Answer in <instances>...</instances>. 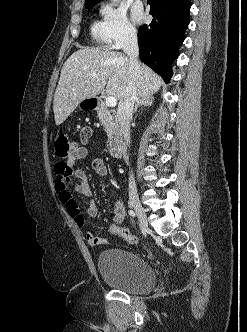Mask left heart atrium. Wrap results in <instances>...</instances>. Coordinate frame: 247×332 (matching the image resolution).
Instances as JSON below:
<instances>
[{
	"label": "left heart atrium",
	"mask_w": 247,
	"mask_h": 332,
	"mask_svg": "<svg viewBox=\"0 0 247 332\" xmlns=\"http://www.w3.org/2000/svg\"><path fill=\"white\" fill-rule=\"evenodd\" d=\"M132 17L135 21L140 22L144 18V13L140 6H134L132 9Z\"/></svg>",
	"instance_id": "left-heart-atrium-1"
}]
</instances>
